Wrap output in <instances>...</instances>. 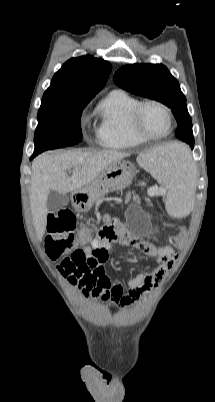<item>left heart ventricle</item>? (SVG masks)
<instances>
[{
  "label": "left heart ventricle",
  "instance_id": "left-heart-ventricle-1",
  "mask_svg": "<svg viewBox=\"0 0 215 402\" xmlns=\"http://www.w3.org/2000/svg\"><path fill=\"white\" fill-rule=\"evenodd\" d=\"M142 125L148 133L161 135L167 131L169 122L166 113L161 108L149 105L142 112Z\"/></svg>",
  "mask_w": 215,
  "mask_h": 402
}]
</instances>
